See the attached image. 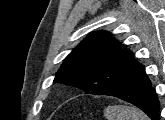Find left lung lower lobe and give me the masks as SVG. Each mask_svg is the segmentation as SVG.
<instances>
[{
  "label": "left lung lower lobe",
  "mask_w": 165,
  "mask_h": 120,
  "mask_svg": "<svg viewBox=\"0 0 165 120\" xmlns=\"http://www.w3.org/2000/svg\"><path fill=\"white\" fill-rule=\"evenodd\" d=\"M108 95L135 105L152 120H159V100L144 66L135 60L132 61L122 83Z\"/></svg>",
  "instance_id": "left-lung-lower-lobe-1"
}]
</instances>
